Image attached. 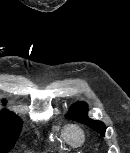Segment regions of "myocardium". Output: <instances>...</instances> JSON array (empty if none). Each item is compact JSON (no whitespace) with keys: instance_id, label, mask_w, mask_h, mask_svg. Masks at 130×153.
<instances>
[{"instance_id":"f54148a6","label":"myocardium","mask_w":130,"mask_h":153,"mask_svg":"<svg viewBox=\"0 0 130 153\" xmlns=\"http://www.w3.org/2000/svg\"><path fill=\"white\" fill-rule=\"evenodd\" d=\"M66 136L72 146H80L85 141L84 129L76 123L68 124L65 128Z\"/></svg>"}]
</instances>
